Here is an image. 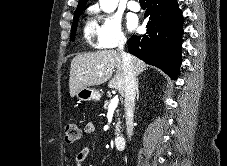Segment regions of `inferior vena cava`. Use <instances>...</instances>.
Returning a JSON list of instances; mask_svg holds the SVG:
<instances>
[{"instance_id": "inferior-vena-cava-1", "label": "inferior vena cava", "mask_w": 227, "mask_h": 166, "mask_svg": "<svg viewBox=\"0 0 227 166\" xmlns=\"http://www.w3.org/2000/svg\"><path fill=\"white\" fill-rule=\"evenodd\" d=\"M126 39L124 37L119 38L117 46L120 51L123 72H124V100H125V114H126V127L128 138L131 139L133 133V114L135 107V95H136V74L132 65L131 57L124 52V45Z\"/></svg>"}]
</instances>
